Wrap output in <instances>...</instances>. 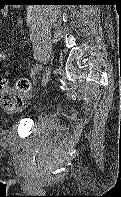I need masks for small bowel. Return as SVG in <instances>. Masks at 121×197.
<instances>
[{
  "label": "small bowel",
  "mask_w": 121,
  "mask_h": 197,
  "mask_svg": "<svg viewBox=\"0 0 121 197\" xmlns=\"http://www.w3.org/2000/svg\"><path fill=\"white\" fill-rule=\"evenodd\" d=\"M0 12L2 15H7V8L5 7H0ZM6 59V54L4 52H0V62L5 61Z\"/></svg>",
  "instance_id": "1"
}]
</instances>
